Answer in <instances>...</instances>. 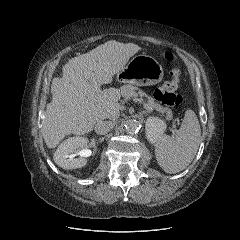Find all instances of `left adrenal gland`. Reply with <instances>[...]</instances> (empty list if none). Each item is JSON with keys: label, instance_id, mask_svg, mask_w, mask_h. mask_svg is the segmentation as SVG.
<instances>
[{"label": "left adrenal gland", "instance_id": "1", "mask_svg": "<svg viewBox=\"0 0 240 240\" xmlns=\"http://www.w3.org/2000/svg\"><path fill=\"white\" fill-rule=\"evenodd\" d=\"M147 113H149V111H142V112H140V117H143L144 114H147Z\"/></svg>", "mask_w": 240, "mask_h": 240}]
</instances>
